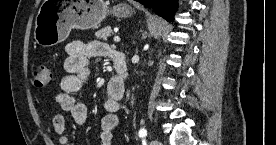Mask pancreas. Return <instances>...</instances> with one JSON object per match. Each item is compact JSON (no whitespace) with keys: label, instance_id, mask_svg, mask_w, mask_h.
Here are the masks:
<instances>
[{"label":"pancreas","instance_id":"1","mask_svg":"<svg viewBox=\"0 0 276 145\" xmlns=\"http://www.w3.org/2000/svg\"><path fill=\"white\" fill-rule=\"evenodd\" d=\"M112 34V28L110 26H106L99 31L96 32V37L98 39L107 40V38Z\"/></svg>","mask_w":276,"mask_h":145}]
</instances>
